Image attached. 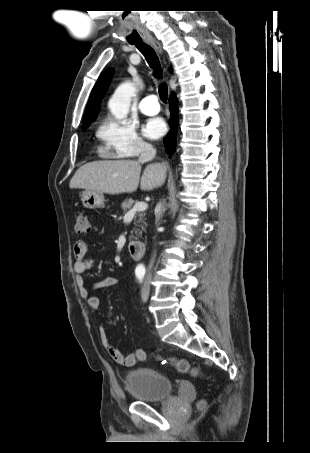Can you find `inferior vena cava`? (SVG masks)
Segmentation results:
<instances>
[{"label": "inferior vena cava", "instance_id": "602c4592", "mask_svg": "<svg viewBox=\"0 0 310 453\" xmlns=\"http://www.w3.org/2000/svg\"><path fill=\"white\" fill-rule=\"evenodd\" d=\"M156 155V149L153 148L152 145L148 144V143H145L143 144L142 148H141V155L139 157V162H147V161H150L152 160ZM157 209L159 210V212L157 213L156 215V224L159 222L160 218H161V215H162V204L161 202L157 205ZM153 266V258L152 260L150 261V264H149V267H148V274L150 275V270Z\"/></svg>", "mask_w": 310, "mask_h": 453}]
</instances>
